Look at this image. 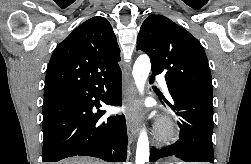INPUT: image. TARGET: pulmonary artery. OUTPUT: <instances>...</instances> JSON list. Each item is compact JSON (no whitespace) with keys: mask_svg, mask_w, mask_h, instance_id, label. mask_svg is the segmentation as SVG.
<instances>
[{"mask_svg":"<svg viewBox=\"0 0 251 164\" xmlns=\"http://www.w3.org/2000/svg\"><path fill=\"white\" fill-rule=\"evenodd\" d=\"M157 79L161 82L163 88H164L165 91L167 92V85H166V82H165V80L163 79V77L157 76Z\"/></svg>","mask_w":251,"mask_h":164,"instance_id":"e3ab8cb5","label":"pulmonary artery"}]
</instances>
